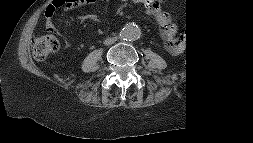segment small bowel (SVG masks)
<instances>
[{
	"instance_id": "c3829d8e",
	"label": "small bowel",
	"mask_w": 253,
	"mask_h": 143,
	"mask_svg": "<svg viewBox=\"0 0 253 143\" xmlns=\"http://www.w3.org/2000/svg\"><path fill=\"white\" fill-rule=\"evenodd\" d=\"M102 1H109V0H102ZM92 2H94V0ZM133 2L141 3V0H133ZM143 5H144V12L147 15L153 17L160 28L161 36L164 40L165 50L172 56L181 55L186 49L185 42L176 39L175 34L177 32V26L173 22L171 15L163 8L161 0L159 4L154 8L145 4ZM52 16L53 14H49L47 11L45 12L46 26L51 30H56L51 22ZM91 18L96 19V16L93 14H86L80 17L82 21ZM65 43L67 46L70 45V42L67 40L65 41Z\"/></svg>"
}]
</instances>
